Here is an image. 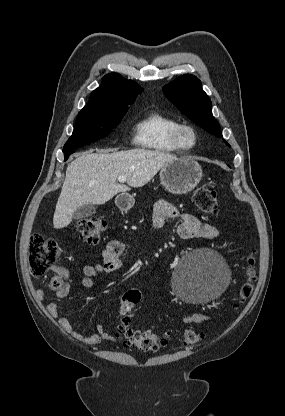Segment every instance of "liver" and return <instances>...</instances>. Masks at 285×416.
<instances>
[{"instance_id": "obj_1", "label": "liver", "mask_w": 285, "mask_h": 416, "mask_svg": "<svg viewBox=\"0 0 285 416\" xmlns=\"http://www.w3.org/2000/svg\"><path fill=\"white\" fill-rule=\"evenodd\" d=\"M88 150L73 160L66 170L65 182L53 218L54 228H66L81 206L106 204L119 192L142 188L168 162L177 160L175 154L164 150ZM118 176H127V186L118 184ZM130 186V188H128Z\"/></svg>"}]
</instances>
